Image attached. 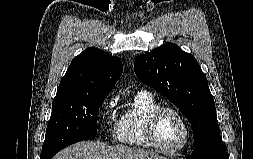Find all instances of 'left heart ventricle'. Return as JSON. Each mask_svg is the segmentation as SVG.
Wrapping results in <instances>:
<instances>
[{"label":"left heart ventricle","mask_w":253,"mask_h":159,"mask_svg":"<svg viewBox=\"0 0 253 159\" xmlns=\"http://www.w3.org/2000/svg\"><path fill=\"white\" fill-rule=\"evenodd\" d=\"M158 143L166 149L178 147L184 137V127L179 117L172 112H164L156 123Z\"/></svg>","instance_id":"1"}]
</instances>
